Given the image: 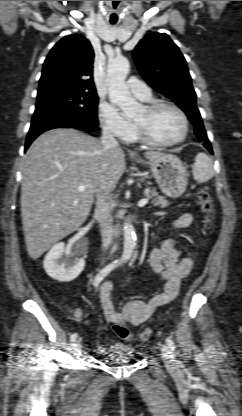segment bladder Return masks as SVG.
I'll return each instance as SVG.
<instances>
[{
    "instance_id": "1",
    "label": "bladder",
    "mask_w": 242,
    "mask_h": 416,
    "mask_svg": "<svg viewBox=\"0 0 242 416\" xmlns=\"http://www.w3.org/2000/svg\"><path fill=\"white\" fill-rule=\"evenodd\" d=\"M130 356L131 353L128 351V348L125 345H121L115 352L109 355L107 362L113 365L126 364L131 361Z\"/></svg>"
}]
</instances>
